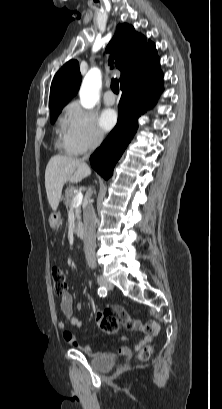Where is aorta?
I'll list each match as a JSON object with an SVG mask.
<instances>
[{
	"label": "aorta",
	"instance_id": "762f6f07",
	"mask_svg": "<svg viewBox=\"0 0 222 409\" xmlns=\"http://www.w3.org/2000/svg\"><path fill=\"white\" fill-rule=\"evenodd\" d=\"M101 84L100 70L91 69L84 77L79 91L80 103L84 108L92 109L98 102Z\"/></svg>",
	"mask_w": 222,
	"mask_h": 409
}]
</instances>
